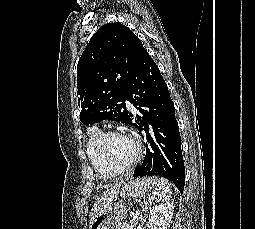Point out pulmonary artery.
I'll return each instance as SVG.
<instances>
[{"label": "pulmonary artery", "instance_id": "obj_1", "mask_svg": "<svg viewBox=\"0 0 255 229\" xmlns=\"http://www.w3.org/2000/svg\"><path fill=\"white\" fill-rule=\"evenodd\" d=\"M127 106L128 107H132L131 104L129 102H126Z\"/></svg>", "mask_w": 255, "mask_h": 229}]
</instances>
